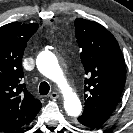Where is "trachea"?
Returning a JSON list of instances; mask_svg holds the SVG:
<instances>
[{
  "label": "trachea",
  "instance_id": "3493384b",
  "mask_svg": "<svg viewBox=\"0 0 133 133\" xmlns=\"http://www.w3.org/2000/svg\"><path fill=\"white\" fill-rule=\"evenodd\" d=\"M50 91V86L47 82H42L39 86V92L41 95H47Z\"/></svg>",
  "mask_w": 133,
  "mask_h": 133
}]
</instances>
